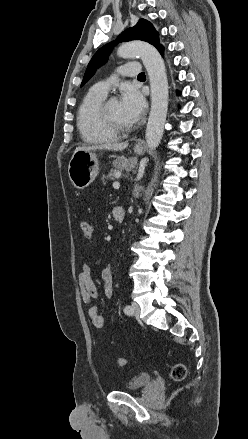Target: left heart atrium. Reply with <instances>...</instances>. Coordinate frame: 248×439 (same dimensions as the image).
<instances>
[{
  "instance_id": "39dd6f15",
  "label": "left heart atrium",
  "mask_w": 248,
  "mask_h": 439,
  "mask_svg": "<svg viewBox=\"0 0 248 439\" xmlns=\"http://www.w3.org/2000/svg\"><path fill=\"white\" fill-rule=\"evenodd\" d=\"M120 104L126 117L133 123L144 114L146 102L135 87H127L121 97Z\"/></svg>"
}]
</instances>
